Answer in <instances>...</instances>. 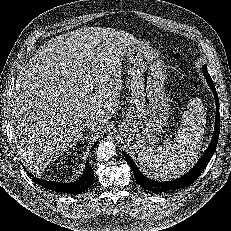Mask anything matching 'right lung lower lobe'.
I'll return each instance as SVG.
<instances>
[{
  "label": "right lung lower lobe",
  "mask_w": 231,
  "mask_h": 231,
  "mask_svg": "<svg viewBox=\"0 0 231 231\" xmlns=\"http://www.w3.org/2000/svg\"><path fill=\"white\" fill-rule=\"evenodd\" d=\"M97 142L93 145L92 149L96 146ZM28 174L33 177V179L42 187L57 191V192H64L69 194H78L83 191H85L89 186H91L93 180H94V174L93 169L89 165V161L86 163V168L83 173V176L73 183H59V182H53V181H46V180H40L34 177L32 174L28 172Z\"/></svg>",
  "instance_id": "1"
}]
</instances>
